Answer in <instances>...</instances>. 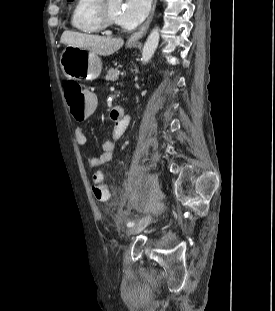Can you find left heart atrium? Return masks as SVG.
<instances>
[{
	"label": "left heart atrium",
	"mask_w": 275,
	"mask_h": 311,
	"mask_svg": "<svg viewBox=\"0 0 275 311\" xmlns=\"http://www.w3.org/2000/svg\"><path fill=\"white\" fill-rule=\"evenodd\" d=\"M151 0H125L123 3L117 22L127 28H133L146 18Z\"/></svg>",
	"instance_id": "39dd6f15"
}]
</instances>
